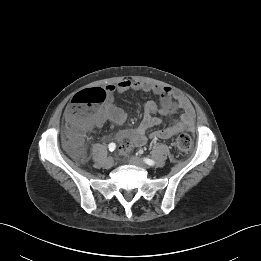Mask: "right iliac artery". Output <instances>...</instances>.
Listing matches in <instances>:
<instances>
[{"label":"right iliac artery","mask_w":261,"mask_h":261,"mask_svg":"<svg viewBox=\"0 0 261 261\" xmlns=\"http://www.w3.org/2000/svg\"><path fill=\"white\" fill-rule=\"evenodd\" d=\"M108 148H109L110 151H114L116 149V144L115 143H110L108 145Z\"/></svg>","instance_id":"obj_1"}]
</instances>
